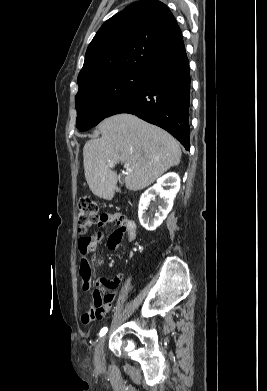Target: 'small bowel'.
<instances>
[{"label":"small bowel","instance_id":"obj_1","mask_svg":"<svg viewBox=\"0 0 267 391\" xmlns=\"http://www.w3.org/2000/svg\"><path fill=\"white\" fill-rule=\"evenodd\" d=\"M119 214L104 213L102 215L100 226L107 223H116L119 227L108 237L107 245L111 250L121 248L122 236L126 234L130 242L136 239V225L132 220H124L119 222ZM103 238L101 232L93 234L95 244ZM89 254V253H88ZM88 254L81 253L80 276L82 279V286L85 291L95 288L92 294V302L89 310L82 315V322L88 323L103 317L110 309L111 304L115 298V290L119 286L122 275L115 274L112 278L99 277L93 279L92 269L88 262Z\"/></svg>","mask_w":267,"mask_h":391}]
</instances>
